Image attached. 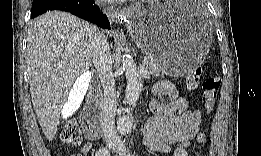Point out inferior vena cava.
Returning a JSON list of instances; mask_svg holds the SVG:
<instances>
[{"label":"inferior vena cava","mask_w":261,"mask_h":156,"mask_svg":"<svg viewBox=\"0 0 261 156\" xmlns=\"http://www.w3.org/2000/svg\"><path fill=\"white\" fill-rule=\"evenodd\" d=\"M93 63L98 71L104 91L102 129L107 145L120 144L121 140L115 128L116 86L112 73L110 47L104 35L97 32L93 41Z\"/></svg>","instance_id":"1"}]
</instances>
